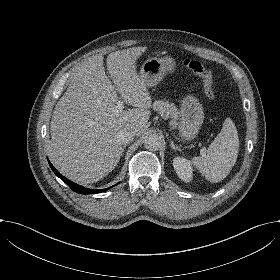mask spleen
Masks as SVG:
<instances>
[{
  "label": "spleen",
  "mask_w": 280,
  "mask_h": 280,
  "mask_svg": "<svg viewBox=\"0 0 280 280\" xmlns=\"http://www.w3.org/2000/svg\"><path fill=\"white\" fill-rule=\"evenodd\" d=\"M239 153V137L234 122L226 118L206 155L193 159L194 165L214 183L222 181L234 167Z\"/></svg>",
  "instance_id": "obj_1"
}]
</instances>
